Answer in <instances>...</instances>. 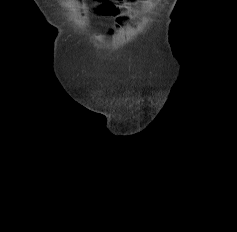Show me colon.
<instances>
[{"instance_id": "5ec220e1", "label": "colon", "mask_w": 237, "mask_h": 232, "mask_svg": "<svg viewBox=\"0 0 237 232\" xmlns=\"http://www.w3.org/2000/svg\"><path fill=\"white\" fill-rule=\"evenodd\" d=\"M107 8H108V6L105 5V6L103 7V10L105 11V10H107Z\"/></svg>"}]
</instances>
